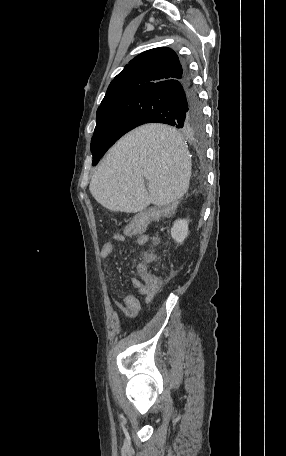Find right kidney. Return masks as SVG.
Segmentation results:
<instances>
[{"instance_id": "obj_1", "label": "right kidney", "mask_w": 286, "mask_h": 456, "mask_svg": "<svg viewBox=\"0 0 286 456\" xmlns=\"http://www.w3.org/2000/svg\"><path fill=\"white\" fill-rule=\"evenodd\" d=\"M188 235V221L185 219L176 220L171 228V236L177 243H183Z\"/></svg>"}]
</instances>
